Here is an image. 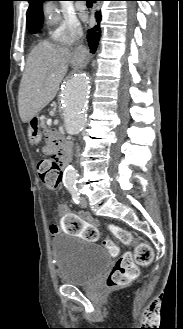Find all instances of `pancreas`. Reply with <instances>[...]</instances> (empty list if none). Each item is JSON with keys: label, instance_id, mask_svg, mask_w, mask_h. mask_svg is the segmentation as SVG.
I'll return each mask as SVG.
<instances>
[{"label": "pancreas", "instance_id": "cf45deb5", "mask_svg": "<svg viewBox=\"0 0 183 329\" xmlns=\"http://www.w3.org/2000/svg\"><path fill=\"white\" fill-rule=\"evenodd\" d=\"M40 125H41V127L43 128V130L45 132H48L50 130V128L47 127V125H46V118H41L40 119Z\"/></svg>", "mask_w": 183, "mask_h": 329}]
</instances>
